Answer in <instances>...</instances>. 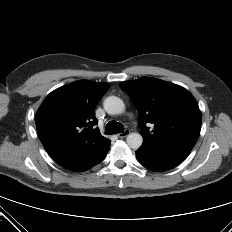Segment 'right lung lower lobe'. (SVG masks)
Here are the masks:
<instances>
[{
	"label": "right lung lower lobe",
	"mask_w": 232,
	"mask_h": 232,
	"mask_svg": "<svg viewBox=\"0 0 232 232\" xmlns=\"http://www.w3.org/2000/svg\"><path fill=\"white\" fill-rule=\"evenodd\" d=\"M106 154L107 153H105L101 156L95 157V158L87 159V160L71 162L69 164L63 165V167L68 169V170L75 171V172L85 171V170L90 169L94 165L100 163L104 159Z\"/></svg>",
	"instance_id": "1"
}]
</instances>
